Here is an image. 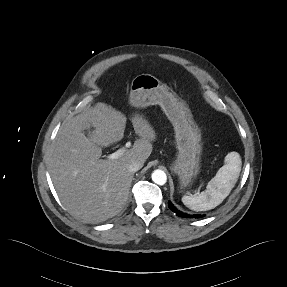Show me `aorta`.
Listing matches in <instances>:
<instances>
[{"instance_id": "aorta-1", "label": "aorta", "mask_w": 287, "mask_h": 287, "mask_svg": "<svg viewBox=\"0 0 287 287\" xmlns=\"http://www.w3.org/2000/svg\"><path fill=\"white\" fill-rule=\"evenodd\" d=\"M152 180L158 185H164L167 182L166 173L162 170L157 169L152 173Z\"/></svg>"}]
</instances>
